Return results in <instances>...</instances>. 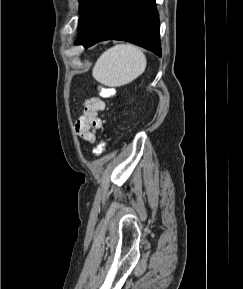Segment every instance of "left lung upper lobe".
<instances>
[{
	"instance_id": "obj_1",
	"label": "left lung upper lobe",
	"mask_w": 243,
	"mask_h": 289,
	"mask_svg": "<svg viewBox=\"0 0 243 289\" xmlns=\"http://www.w3.org/2000/svg\"><path fill=\"white\" fill-rule=\"evenodd\" d=\"M90 0H79V11L81 12L83 10V8L86 6V4L89 2Z\"/></svg>"
}]
</instances>
